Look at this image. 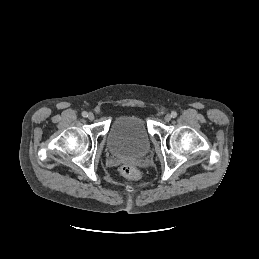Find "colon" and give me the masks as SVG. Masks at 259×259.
Wrapping results in <instances>:
<instances>
[{"label":"colon","instance_id":"colon-1","mask_svg":"<svg viewBox=\"0 0 259 259\" xmlns=\"http://www.w3.org/2000/svg\"><path fill=\"white\" fill-rule=\"evenodd\" d=\"M120 171L123 176L130 179H137L139 177V171L132 165L124 164L121 166Z\"/></svg>","mask_w":259,"mask_h":259}]
</instances>
